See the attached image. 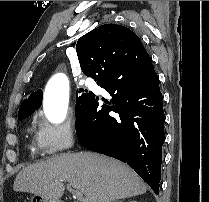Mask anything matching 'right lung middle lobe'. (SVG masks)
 Wrapping results in <instances>:
<instances>
[{"label": "right lung middle lobe", "instance_id": "dd1d6c3e", "mask_svg": "<svg viewBox=\"0 0 209 202\" xmlns=\"http://www.w3.org/2000/svg\"><path fill=\"white\" fill-rule=\"evenodd\" d=\"M79 93L81 94H77V97H76V109H75L76 116H80L83 113L91 97L94 95L92 92H89L84 89H80ZM38 108L39 107L20 109L19 114H18V120H23L24 118L29 117Z\"/></svg>", "mask_w": 209, "mask_h": 202}]
</instances>
